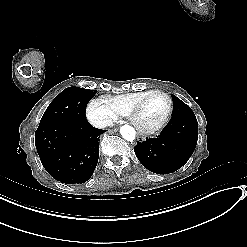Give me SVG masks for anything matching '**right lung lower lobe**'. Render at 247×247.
Wrapping results in <instances>:
<instances>
[{
    "label": "right lung lower lobe",
    "instance_id": "right-lung-lower-lobe-1",
    "mask_svg": "<svg viewBox=\"0 0 247 247\" xmlns=\"http://www.w3.org/2000/svg\"><path fill=\"white\" fill-rule=\"evenodd\" d=\"M102 132L87 119L39 124L35 145L43 167L62 183H84L96 168Z\"/></svg>",
    "mask_w": 247,
    "mask_h": 247
}]
</instances>
